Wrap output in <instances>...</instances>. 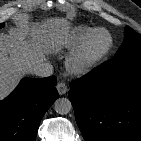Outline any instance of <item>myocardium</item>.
I'll use <instances>...</instances> for the list:
<instances>
[{
	"label": "myocardium",
	"instance_id": "1",
	"mask_svg": "<svg viewBox=\"0 0 141 141\" xmlns=\"http://www.w3.org/2000/svg\"><path fill=\"white\" fill-rule=\"evenodd\" d=\"M99 33H103L107 36V45L101 52L89 54L88 46L94 36ZM113 44V36L107 29L102 27L94 28L69 56L67 64L70 72L76 75L89 73L108 57L113 48Z\"/></svg>",
	"mask_w": 141,
	"mask_h": 141
}]
</instances>
